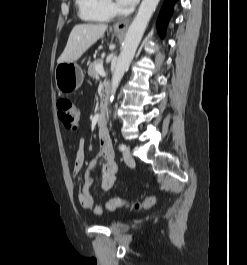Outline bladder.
<instances>
[{
  "mask_svg": "<svg viewBox=\"0 0 247 265\" xmlns=\"http://www.w3.org/2000/svg\"><path fill=\"white\" fill-rule=\"evenodd\" d=\"M109 227L117 232H125L129 229V225L121 221H111Z\"/></svg>",
  "mask_w": 247,
  "mask_h": 265,
  "instance_id": "31cf9c89",
  "label": "bladder"
}]
</instances>
